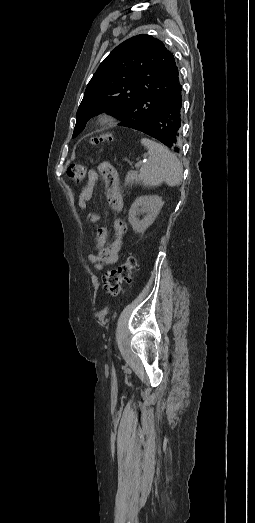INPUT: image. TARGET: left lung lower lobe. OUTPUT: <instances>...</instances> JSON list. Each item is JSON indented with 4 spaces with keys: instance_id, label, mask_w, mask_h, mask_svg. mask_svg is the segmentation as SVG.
I'll return each instance as SVG.
<instances>
[{
    "instance_id": "obj_1",
    "label": "left lung lower lobe",
    "mask_w": 255,
    "mask_h": 523,
    "mask_svg": "<svg viewBox=\"0 0 255 523\" xmlns=\"http://www.w3.org/2000/svg\"><path fill=\"white\" fill-rule=\"evenodd\" d=\"M170 94L169 101L165 102L162 109L158 110L159 115H152V120L146 121L143 125H138L134 129H141L148 135H153L155 140H160L159 144L170 151L175 152L179 148V136L181 132V109L186 104L185 97L182 96V86H177Z\"/></svg>"
}]
</instances>
